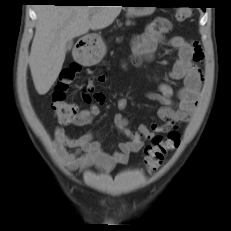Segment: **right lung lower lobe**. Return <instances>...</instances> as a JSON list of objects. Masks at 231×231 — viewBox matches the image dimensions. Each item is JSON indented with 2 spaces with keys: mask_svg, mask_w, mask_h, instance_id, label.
Wrapping results in <instances>:
<instances>
[{
  "mask_svg": "<svg viewBox=\"0 0 231 231\" xmlns=\"http://www.w3.org/2000/svg\"><path fill=\"white\" fill-rule=\"evenodd\" d=\"M36 3H54L56 5H76L72 0H33Z\"/></svg>",
  "mask_w": 231,
  "mask_h": 231,
  "instance_id": "98d812e1",
  "label": "right lung lower lobe"
}]
</instances>
